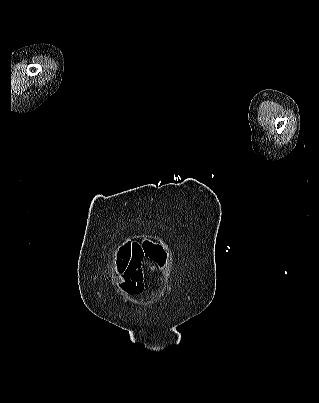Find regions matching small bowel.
Masks as SVG:
<instances>
[{"label":"small bowel","instance_id":"1","mask_svg":"<svg viewBox=\"0 0 319 403\" xmlns=\"http://www.w3.org/2000/svg\"><path fill=\"white\" fill-rule=\"evenodd\" d=\"M144 258H148L158 265L166 262L163 248L152 242L129 243L122 246L117 253L114 268L121 276V288L129 293H137L143 288Z\"/></svg>","mask_w":319,"mask_h":403}]
</instances>
